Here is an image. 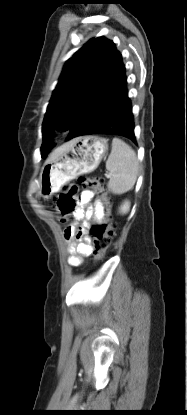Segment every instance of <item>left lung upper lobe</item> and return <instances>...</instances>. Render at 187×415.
Returning <instances> with one entry per match:
<instances>
[{
	"label": "left lung upper lobe",
	"mask_w": 187,
	"mask_h": 415,
	"mask_svg": "<svg viewBox=\"0 0 187 415\" xmlns=\"http://www.w3.org/2000/svg\"><path fill=\"white\" fill-rule=\"evenodd\" d=\"M114 49L115 44L105 37L93 38L67 60L42 125L43 158L54 146L49 140L52 128L71 130L84 116L99 109V101L90 99L91 92Z\"/></svg>",
	"instance_id": "1"
}]
</instances>
